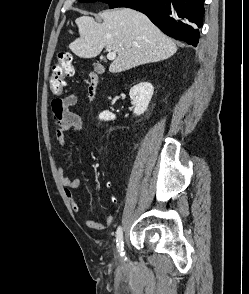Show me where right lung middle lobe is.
I'll return each mask as SVG.
<instances>
[{
    "label": "right lung middle lobe",
    "instance_id": "dd1d6c3e",
    "mask_svg": "<svg viewBox=\"0 0 249 294\" xmlns=\"http://www.w3.org/2000/svg\"><path fill=\"white\" fill-rule=\"evenodd\" d=\"M78 1H80V2H95L98 0H78ZM100 1L107 3L110 8L119 7L120 4L123 2V0H100Z\"/></svg>",
    "mask_w": 249,
    "mask_h": 294
}]
</instances>
